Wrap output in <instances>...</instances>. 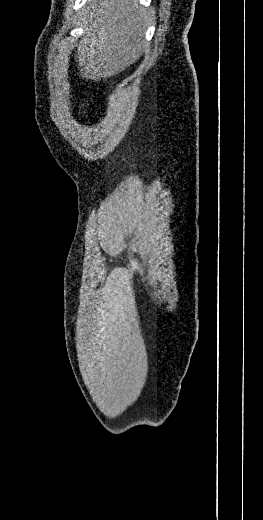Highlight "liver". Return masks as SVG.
I'll use <instances>...</instances> for the list:
<instances>
[{
    "label": "liver",
    "instance_id": "liver-1",
    "mask_svg": "<svg viewBox=\"0 0 263 520\" xmlns=\"http://www.w3.org/2000/svg\"><path fill=\"white\" fill-rule=\"evenodd\" d=\"M88 12L78 69L85 79H107L142 55L150 14L138 0H91Z\"/></svg>",
    "mask_w": 263,
    "mask_h": 520
}]
</instances>
